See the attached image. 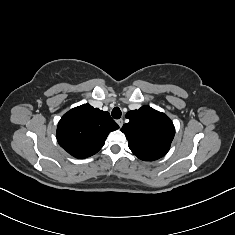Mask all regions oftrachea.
<instances>
[{
	"label": "trachea",
	"instance_id": "trachea-1",
	"mask_svg": "<svg viewBox=\"0 0 235 235\" xmlns=\"http://www.w3.org/2000/svg\"><path fill=\"white\" fill-rule=\"evenodd\" d=\"M111 115L114 119H119L122 115V112L120 110L119 107H115L112 112H111Z\"/></svg>",
	"mask_w": 235,
	"mask_h": 235
}]
</instances>
